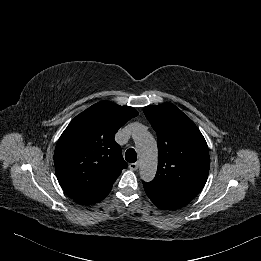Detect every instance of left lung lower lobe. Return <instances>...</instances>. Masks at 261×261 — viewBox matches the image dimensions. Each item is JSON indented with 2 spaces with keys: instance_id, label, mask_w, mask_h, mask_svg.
<instances>
[{
  "instance_id": "obj_1",
  "label": "left lung lower lobe",
  "mask_w": 261,
  "mask_h": 261,
  "mask_svg": "<svg viewBox=\"0 0 261 261\" xmlns=\"http://www.w3.org/2000/svg\"><path fill=\"white\" fill-rule=\"evenodd\" d=\"M145 192L151 201L160 209L173 210L186 206L194 199V195L176 189L162 188L143 183Z\"/></svg>"
}]
</instances>
